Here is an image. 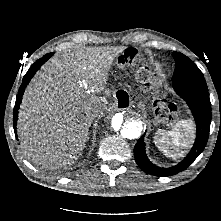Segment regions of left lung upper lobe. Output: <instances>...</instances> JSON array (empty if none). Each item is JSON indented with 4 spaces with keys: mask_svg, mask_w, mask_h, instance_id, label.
Returning <instances> with one entry per match:
<instances>
[{
    "mask_svg": "<svg viewBox=\"0 0 221 221\" xmlns=\"http://www.w3.org/2000/svg\"><path fill=\"white\" fill-rule=\"evenodd\" d=\"M175 60V71L172 80L203 77L199 68L185 55L180 52H173Z\"/></svg>",
    "mask_w": 221,
    "mask_h": 221,
    "instance_id": "5c2ea615",
    "label": "left lung upper lobe"
}]
</instances>
